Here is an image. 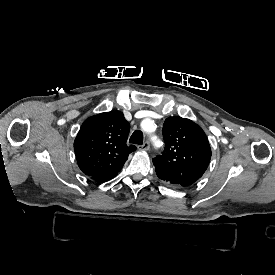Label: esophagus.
Wrapping results in <instances>:
<instances>
[{
	"label": "esophagus",
	"mask_w": 275,
	"mask_h": 275,
	"mask_svg": "<svg viewBox=\"0 0 275 275\" xmlns=\"http://www.w3.org/2000/svg\"><path fill=\"white\" fill-rule=\"evenodd\" d=\"M137 148L141 151H147L150 148L149 142L145 141L142 145H139Z\"/></svg>",
	"instance_id": "obj_1"
}]
</instances>
